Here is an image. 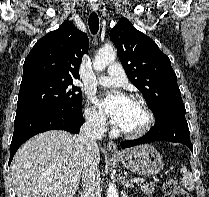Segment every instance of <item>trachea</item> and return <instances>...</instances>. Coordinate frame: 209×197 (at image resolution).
<instances>
[{"mask_svg": "<svg viewBox=\"0 0 209 197\" xmlns=\"http://www.w3.org/2000/svg\"><path fill=\"white\" fill-rule=\"evenodd\" d=\"M89 28L92 34H97L99 30V18L96 13H91L88 19Z\"/></svg>", "mask_w": 209, "mask_h": 197, "instance_id": "obj_1", "label": "trachea"}]
</instances>
